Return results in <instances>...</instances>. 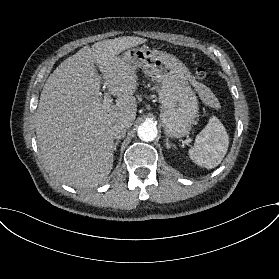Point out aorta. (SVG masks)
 I'll use <instances>...</instances> for the list:
<instances>
[{"label":"aorta","instance_id":"762f6f07","mask_svg":"<svg viewBox=\"0 0 279 279\" xmlns=\"http://www.w3.org/2000/svg\"><path fill=\"white\" fill-rule=\"evenodd\" d=\"M138 137L145 142L153 141L158 134V130L153 123L144 122L138 127Z\"/></svg>","mask_w":279,"mask_h":279}]
</instances>
